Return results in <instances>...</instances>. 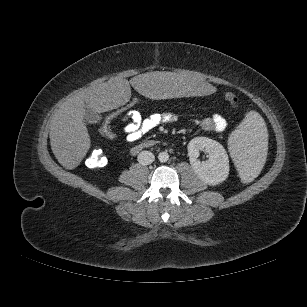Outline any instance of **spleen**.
Wrapping results in <instances>:
<instances>
[{"label": "spleen", "instance_id": "spleen-1", "mask_svg": "<svg viewBox=\"0 0 307 307\" xmlns=\"http://www.w3.org/2000/svg\"><path fill=\"white\" fill-rule=\"evenodd\" d=\"M267 129L263 118L255 111L246 114L232 133L230 146L238 176L246 182L259 180L265 172L269 152Z\"/></svg>", "mask_w": 307, "mask_h": 307}]
</instances>
